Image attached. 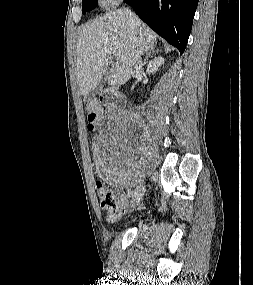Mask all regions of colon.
I'll return each mask as SVG.
<instances>
[{
	"label": "colon",
	"mask_w": 253,
	"mask_h": 285,
	"mask_svg": "<svg viewBox=\"0 0 253 285\" xmlns=\"http://www.w3.org/2000/svg\"><path fill=\"white\" fill-rule=\"evenodd\" d=\"M102 120L100 104L92 101L88 104L87 127L89 131H95ZM94 141H99L100 137L95 132L89 133ZM96 191L100 199V205L110 220H116L127 206V199L118 192L106 187L101 182L96 183Z\"/></svg>",
	"instance_id": "colon-1"
}]
</instances>
